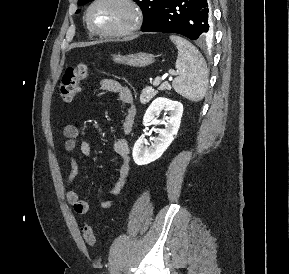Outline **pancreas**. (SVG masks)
Segmentation results:
<instances>
[{
    "label": "pancreas",
    "mask_w": 289,
    "mask_h": 274,
    "mask_svg": "<svg viewBox=\"0 0 289 274\" xmlns=\"http://www.w3.org/2000/svg\"><path fill=\"white\" fill-rule=\"evenodd\" d=\"M158 90H171V86L168 83H163L160 85ZM157 94V91H155L152 87L146 86L140 96V102L142 104L148 103L155 95Z\"/></svg>",
    "instance_id": "1"
}]
</instances>
